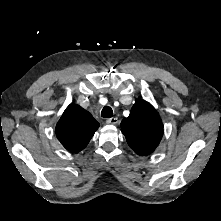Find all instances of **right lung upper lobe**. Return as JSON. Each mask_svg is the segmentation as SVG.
I'll use <instances>...</instances> for the list:
<instances>
[{
	"label": "right lung upper lobe",
	"mask_w": 221,
	"mask_h": 221,
	"mask_svg": "<svg viewBox=\"0 0 221 221\" xmlns=\"http://www.w3.org/2000/svg\"><path fill=\"white\" fill-rule=\"evenodd\" d=\"M99 123L93 116L77 104H70L56 125V136L69 151L78 153L83 150Z\"/></svg>",
	"instance_id": "1"
}]
</instances>
